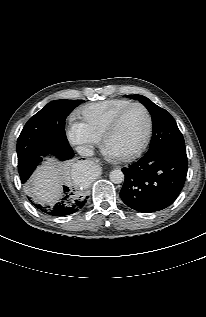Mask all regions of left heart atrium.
Wrapping results in <instances>:
<instances>
[{
	"label": "left heart atrium",
	"mask_w": 206,
	"mask_h": 317,
	"mask_svg": "<svg viewBox=\"0 0 206 317\" xmlns=\"http://www.w3.org/2000/svg\"><path fill=\"white\" fill-rule=\"evenodd\" d=\"M105 151L108 156H111V157L115 156V154L110 149L106 148Z\"/></svg>",
	"instance_id": "obj_1"
}]
</instances>
